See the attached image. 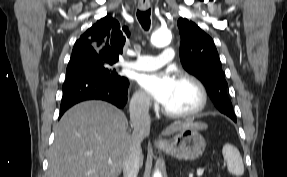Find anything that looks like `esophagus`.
<instances>
[{
	"label": "esophagus",
	"mask_w": 287,
	"mask_h": 177,
	"mask_svg": "<svg viewBox=\"0 0 287 177\" xmlns=\"http://www.w3.org/2000/svg\"><path fill=\"white\" fill-rule=\"evenodd\" d=\"M138 8L142 11H147L151 8L149 0H139ZM155 144L158 146H163L166 143L162 139H156Z\"/></svg>",
	"instance_id": "esophagus-1"
}]
</instances>
